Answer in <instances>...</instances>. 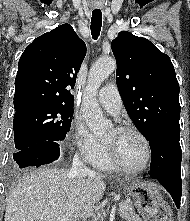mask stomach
Segmentation results:
<instances>
[{
  "instance_id": "1",
  "label": "stomach",
  "mask_w": 190,
  "mask_h": 221,
  "mask_svg": "<svg viewBox=\"0 0 190 221\" xmlns=\"http://www.w3.org/2000/svg\"><path fill=\"white\" fill-rule=\"evenodd\" d=\"M123 189L133 200L134 217L136 221H171L168 208L163 202L156 185L149 182L133 181L123 184Z\"/></svg>"
}]
</instances>
